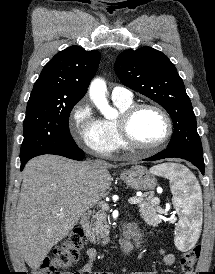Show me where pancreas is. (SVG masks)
<instances>
[{"mask_svg": "<svg viewBox=\"0 0 215 274\" xmlns=\"http://www.w3.org/2000/svg\"><path fill=\"white\" fill-rule=\"evenodd\" d=\"M142 198L143 201L138 205L141 216L148 224H158L159 219L155 213L159 209V199L154 198L152 193H145ZM106 218V213L102 211L97 212L93 216V220L88 224L86 232V236L91 242L103 245L110 241Z\"/></svg>", "mask_w": 215, "mask_h": 274, "instance_id": "1", "label": "pancreas"}]
</instances>
